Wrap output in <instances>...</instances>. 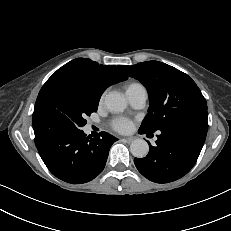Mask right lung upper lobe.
<instances>
[{"label": "right lung upper lobe", "instance_id": "obj_1", "mask_svg": "<svg viewBox=\"0 0 231 231\" xmlns=\"http://www.w3.org/2000/svg\"><path fill=\"white\" fill-rule=\"evenodd\" d=\"M127 78V75L121 71V66L100 65L91 59L76 58L59 68L46 81L40 92L63 82L86 81L102 94L110 85Z\"/></svg>", "mask_w": 231, "mask_h": 231}]
</instances>
